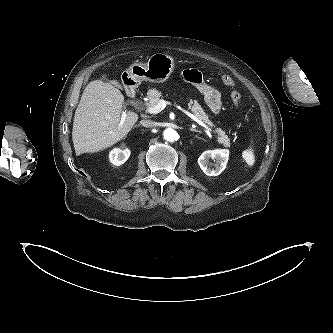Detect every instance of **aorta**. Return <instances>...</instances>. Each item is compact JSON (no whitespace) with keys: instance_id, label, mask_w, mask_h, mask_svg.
I'll use <instances>...</instances> for the list:
<instances>
[{"instance_id":"762f6f07","label":"aorta","mask_w":333,"mask_h":333,"mask_svg":"<svg viewBox=\"0 0 333 333\" xmlns=\"http://www.w3.org/2000/svg\"><path fill=\"white\" fill-rule=\"evenodd\" d=\"M163 136L166 141L173 142L177 139L178 134L174 129L168 128L164 131Z\"/></svg>"}]
</instances>
